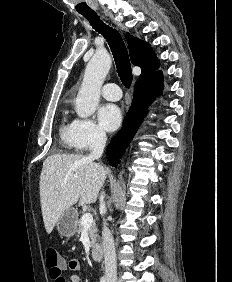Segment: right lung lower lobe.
Here are the masks:
<instances>
[{
	"instance_id": "98d812e1",
	"label": "right lung lower lobe",
	"mask_w": 232,
	"mask_h": 282,
	"mask_svg": "<svg viewBox=\"0 0 232 282\" xmlns=\"http://www.w3.org/2000/svg\"><path fill=\"white\" fill-rule=\"evenodd\" d=\"M162 80V72L157 71L141 76L136 82L133 101L126 114L123 126L107 147L110 165L115 166L119 163V159L146 115L148 106L154 100V96L161 93L163 89Z\"/></svg>"
}]
</instances>
